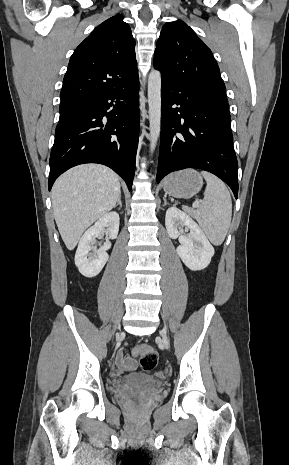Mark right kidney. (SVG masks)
Segmentation results:
<instances>
[{"instance_id":"obj_1","label":"right kidney","mask_w":289,"mask_h":465,"mask_svg":"<svg viewBox=\"0 0 289 465\" xmlns=\"http://www.w3.org/2000/svg\"><path fill=\"white\" fill-rule=\"evenodd\" d=\"M120 218L117 212H108L100 217L93 226H91L81 237L75 254V265L79 272L88 278L97 276L108 261L109 255L107 250L110 249L111 243L107 240L104 245L96 251L95 239L104 231L109 239H114L118 235Z\"/></svg>"}]
</instances>
